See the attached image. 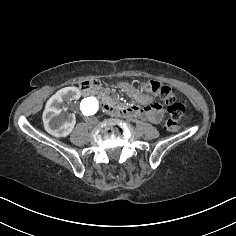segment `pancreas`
Here are the masks:
<instances>
[{
	"label": "pancreas",
	"instance_id": "1",
	"mask_svg": "<svg viewBox=\"0 0 236 236\" xmlns=\"http://www.w3.org/2000/svg\"><path fill=\"white\" fill-rule=\"evenodd\" d=\"M109 94H110L109 90L105 89V90L102 92V94H101L102 99H103V100L108 99V98H109Z\"/></svg>",
	"mask_w": 236,
	"mask_h": 236
}]
</instances>
